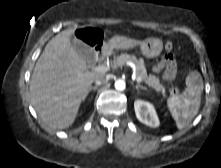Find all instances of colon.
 Returning <instances> with one entry per match:
<instances>
[{"label":"colon","instance_id":"obj_1","mask_svg":"<svg viewBox=\"0 0 221 168\" xmlns=\"http://www.w3.org/2000/svg\"><path fill=\"white\" fill-rule=\"evenodd\" d=\"M100 37V33L96 29H86L83 30L80 34V38L88 43H95L98 38ZM165 49L170 52L173 49V44L170 41L165 43ZM180 93V89L178 88L177 83L171 84V98H176L177 95Z\"/></svg>","mask_w":221,"mask_h":168}]
</instances>
